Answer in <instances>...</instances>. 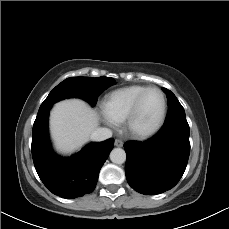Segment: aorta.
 I'll use <instances>...</instances> for the list:
<instances>
[{
    "label": "aorta",
    "mask_w": 229,
    "mask_h": 229,
    "mask_svg": "<svg viewBox=\"0 0 229 229\" xmlns=\"http://www.w3.org/2000/svg\"><path fill=\"white\" fill-rule=\"evenodd\" d=\"M110 160L115 164H123L126 160V153L121 148H115L110 153Z\"/></svg>",
    "instance_id": "aorta-1"
}]
</instances>
